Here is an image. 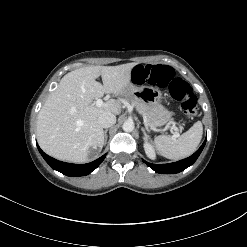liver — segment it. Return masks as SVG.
<instances>
[{
  "instance_id": "1",
  "label": "liver",
  "mask_w": 247,
  "mask_h": 247,
  "mask_svg": "<svg viewBox=\"0 0 247 247\" xmlns=\"http://www.w3.org/2000/svg\"><path fill=\"white\" fill-rule=\"evenodd\" d=\"M136 63L118 66H87L67 73L48 96L38 114L37 139L48 155L63 161L82 163L89 149L97 153L104 145V131L98 118L106 112L119 113L120 106L108 101L97 107L104 94L126 95ZM101 76L103 85L96 81Z\"/></svg>"
}]
</instances>
